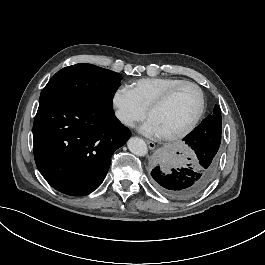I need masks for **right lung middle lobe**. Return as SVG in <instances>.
<instances>
[{
	"instance_id": "1",
	"label": "right lung middle lobe",
	"mask_w": 265,
	"mask_h": 265,
	"mask_svg": "<svg viewBox=\"0 0 265 265\" xmlns=\"http://www.w3.org/2000/svg\"><path fill=\"white\" fill-rule=\"evenodd\" d=\"M120 74L91 64L79 63L58 71L41 92L46 96L112 107Z\"/></svg>"
}]
</instances>
